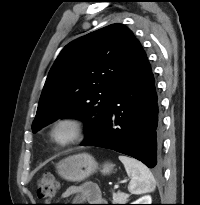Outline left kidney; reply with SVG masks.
Masks as SVG:
<instances>
[{"label":"left kidney","instance_id":"left-kidney-1","mask_svg":"<svg viewBox=\"0 0 200 205\" xmlns=\"http://www.w3.org/2000/svg\"><path fill=\"white\" fill-rule=\"evenodd\" d=\"M152 198L150 195H145L133 202L132 204H152Z\"/></svg>","mask_w":200,"mask_h":205}]
</instances>
